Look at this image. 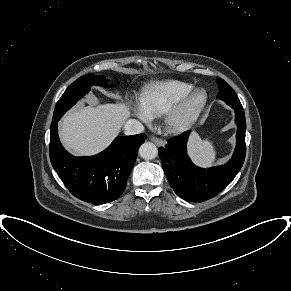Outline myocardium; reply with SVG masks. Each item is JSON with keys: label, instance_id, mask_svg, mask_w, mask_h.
<instances>
[{"label": "myocardium", "instance_id": "myocardium-1", "mask_svg": "<svg viewBox=\"0 0 291 291\" xmlns=\"http://www.w3.org/2000/svg\"><path fill=\"white\" fill-rule=\"evenodd\" d=\"M208 95L203 89H193L166 113L165 126L170 133L180 134L190 129L204 111Z\"/></svg>", "mask_w": 291, "mask_h": 291}]
</instances>
